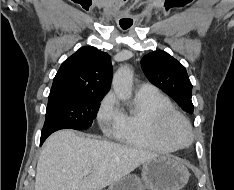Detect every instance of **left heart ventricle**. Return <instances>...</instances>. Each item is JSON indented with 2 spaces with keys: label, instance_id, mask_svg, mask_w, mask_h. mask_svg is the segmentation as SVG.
<instances>
[{
  "label": "left heart ventricle",
  "instance_id": "left-heart-ventricle-1",
  "mask_svg": "<svg viewBox=\"0 0 234 190\" xmlns=\"http://www.w3.org/2000/svg\"><path fill=\"white\" fill-rule=\"evenodd\" d=\"M169 136L176 143L182 144L187 141V132L184 126L178 121L173 122L172 125L170 126Z\"/></svg>",
  "mask_w": 234,
  "mask_h": 190
}]
</instances>
